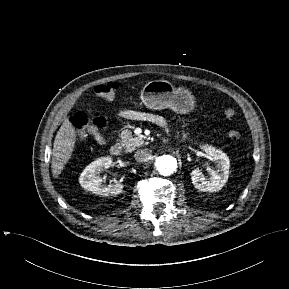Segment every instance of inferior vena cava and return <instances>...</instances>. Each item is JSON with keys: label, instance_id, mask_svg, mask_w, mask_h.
Listing matches in <instances>:
<instances>
[{"label": "inferior vena cava", "instance_id": "1", "mask_svg": "<svg viewBox=\"0 0 289 289\" xmlns=\"http://www.w3.org/2000/svg\"><path fill=\"white\" fill-rule=\"evenodd\" d=\"M150 156H151V150L147 148L139 149L134 154V157L138 162H145L150 158Z\"/></svg>", "mask_w": 289, "mask_h": 289}]
</instances>
